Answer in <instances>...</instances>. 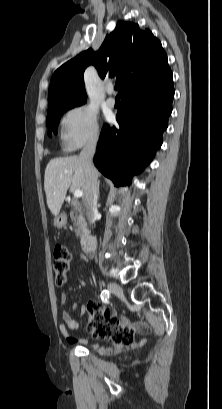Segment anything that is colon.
<instances>
[{
    "mask_svg": "<svg viewBox=\"0 0 222 409\" xmlns=\"http://www.w3.org/2000/svg\"><path fill=\"white\" fill-rule=\"evenodd\" d=\"M71 260L72 255L66 245L60 244L55 248L52 269L58 286L66 282ZM89 310L88 328L93 338L109 339L118 344H127L133 339V333L123 327L119 320L112 317L113 311L110 308L92 304Z\"/></svg>",
    "mask_w": 222,
    "mask_h": 409,
    "instance_id": "colon-1",
    "label": "colon"
}]
</instances>
